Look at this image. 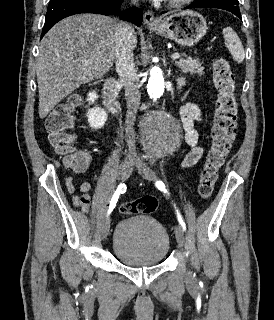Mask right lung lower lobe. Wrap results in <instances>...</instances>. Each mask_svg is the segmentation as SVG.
Returning a JSON list of instances; mask_svg holds the SVG:
<instances>
[{"label": "right lung lower lobe", "instance_id": "obj_1", "mask_svg": "<svg viewBox=\"0 0 274 320\" xmlns=\"http://www.w3.org/2000/svg\"><path fill=\"white\" fill-rule=\"evenodd\" d=\"M122 2L123 0H50L41 38L61 19L79 13L119 15L120 19L139 27L142 23V9L132 8L120 12Z\"/></svg>", "mask_w": 274, "mask_h": 320}]
</instances>
